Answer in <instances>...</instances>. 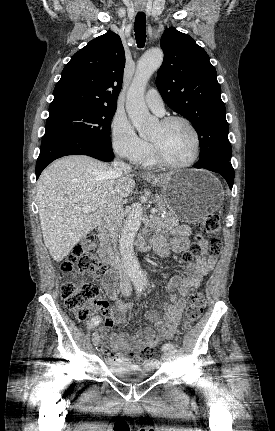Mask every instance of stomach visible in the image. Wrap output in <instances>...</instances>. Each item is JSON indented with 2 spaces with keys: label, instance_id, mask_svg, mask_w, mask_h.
Returning a JSON list of instances; mask_svg holds the SVG:
<instances>
[{
  "label": "stomach",
  "instance_id": "1",
  "mask_svg": "<svg viewBox=\"0 0 275 431\" xmlns=\"http://www.w3.org/2000/svg\"><path fill=\"white\" fill-rule=\"evenodd\" d=\"M146 180L161 188L171 213L187 223L197 222L218 210L224 197L220 182L205 170H179Z\"/></svg>",
  "mask_w": 275,
  "mask_h": 431
}]
</instances>
